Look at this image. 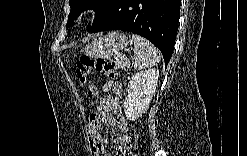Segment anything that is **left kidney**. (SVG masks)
Wrapping results in <instances>:
<instances>
[{"label": "left kidney", "mask_w": 247, "mask_h": 156, "mask_svg": "<svg viewBox=\"0 0 247 156\" xmlns=\"http://www.w3.org/2000/svg\"><path fill=\"white\" fill-rule=\"evenodd\" d=\"M158 77V69H148L132 75L123 105L127 119L134 121L148 109L156 90Z\"/></svg>", "instance_id": "obj_1"}]
</instances>
